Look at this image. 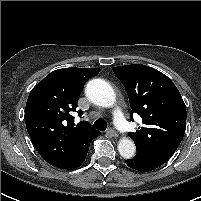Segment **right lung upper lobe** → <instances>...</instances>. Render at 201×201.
Masks as SVG:
<instances>
[{"label": "right lung upper lobe", "mask_w": 201, "mask_h": 201, "mask_svg": "<svg viewBox=\"0 0 201 201\" xmlns=\"http://www.w3.org/2000/svg\"><path fill=\"white\" fill-rule=\"evenodd\" d=\"M99 72L98 68L58 69L31 90L25 108L26 128L39 154L52 166L74 167L100 135L85 121L75 125L71 115L83 85Z\"/></svg>", "instance_id": "1"}]
</instances>
